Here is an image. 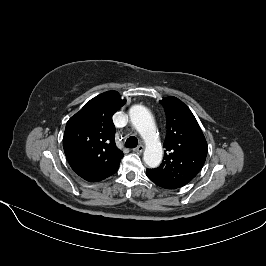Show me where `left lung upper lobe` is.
Returning a JSON list of instances; mask_svg holds the SVG:
<instances>
[{
	"instance_id": "obj_1",
	"label": "left lung upper lobe",
	"mask_w": 266,
	"mask_h": 266,
	"mask_svg": "<svg viewBox=\"0 0 266 266\" xmlns=\"http://www.w3.org/2000/svg\"><path fill=\"white\" fill-rule=\"evenodd\" d=\"M166 113L167 135L161 165L150 169L172 188L188 184L202 169L207 156V143L190 109L178 98L160 101Z\"/></svg>"
}]
</instances>
